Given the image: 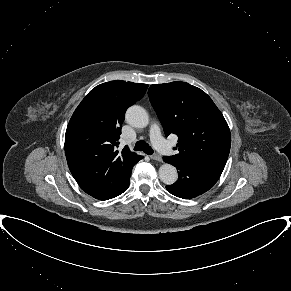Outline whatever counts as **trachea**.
<instances>
[{
	"label": "trachea",
	"instance_id": "trachea-1",
	"mask_svg": "<svg viewBox=\"0 0 291 291\" xmlns=\"http://www.w3.org/2000/svg\"><path fill=\"white\" fill-rule=\"evenodd\" d=\"M134 150L143 151L144 153H146L148 155H152L153 154V150L149 146V144L146 143L145 141H142V140L136 142V144L134 146Z\"/></svg>",
	"mask_w": 291,
	"mask_h": 291
}]
</instances>
